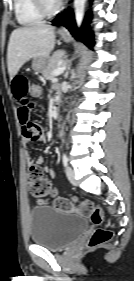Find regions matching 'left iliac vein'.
Masks as SVG:
<instances>
[{
	"label": "left iliac vein",
	"mask_w": 134,
	"mask_h": 281,
	"mask_svg": "<svg viewBox=\"0 0 134 281\" xmlns=\"http://www.w3.org/2000/svg\"><path fill=\"white\" fill-rule=\"evenodd\" d=\"M66 175H67L68 180H69L72 184H74V185L77 184V181H76V179H75V172H74V170H73L71 167H69V166L66 167Z\"/></svg>",
	"instance_id": "4c4485c4"
}]
</instances>
